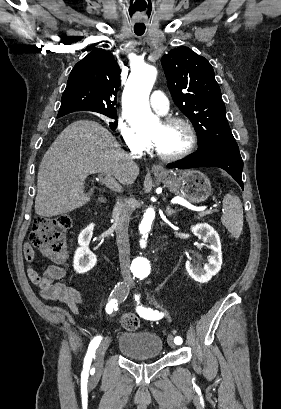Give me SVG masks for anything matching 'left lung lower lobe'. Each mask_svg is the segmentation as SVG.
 Returning a JSON list of instances; mask_svg holds the SVG:
<instances>
[{
  "instance_id": "left-lung-lower-lobe-1",
  "label": "left lung lower lobe",
  "mask_w": 281,
  "mask_h": 409,
  "mask_svg": "<svg viewBox=\"0 0 281 409\" xmlns=\"http://www.w3.org/2000/svg\"><path fill=\"white\" fill-rule=\"evenodd\" d=\"M195 167H220L227 171L244 189L241 173L243 161L239 149L199 148L187 159L168 165V168L189 169Z\"/></svg>"
}]
</instances>
